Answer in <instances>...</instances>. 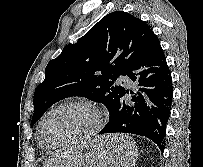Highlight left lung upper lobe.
Here are the masks:
<instances>
[{"label":"left lung upper lobe","instance_id":"1","mask_svg":"<svg viewBox=\"0 0 203 167\" xmlns=\"http://www.w3.org/2000/svg\"><path fill=\"white\" fill-rule=\"evenodd\" d=\"M157 39L139 18L112 12L95 24L77 43L68 44L45 68V80L34 93L31 127L54 103L82 96L103 103L109 113L125 88L115 85Z\"/></svg>","mask_w":203,"mask_h":167}]
</instances>
